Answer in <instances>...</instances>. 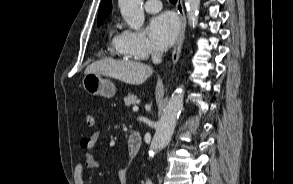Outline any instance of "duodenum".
Returning a JSON list of instances; mask_svg holds the SVG:
<instances>
[{"mask_svg":"<svg viewBox=\"0 0 293 184\" xmlns=\"http://www.w3.org/2000/svg\"><path fill=\"white\" fill-rule=\"evenodd\" d=\"M142 145V138L139 132H133L130 134L127 140L128 155L130 158H134Z\"/></svg>","mask_w":293,"mask_h":184,"instance_id":"obj_1","label":"duodenum"}]
</instances>
